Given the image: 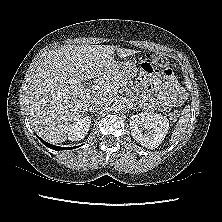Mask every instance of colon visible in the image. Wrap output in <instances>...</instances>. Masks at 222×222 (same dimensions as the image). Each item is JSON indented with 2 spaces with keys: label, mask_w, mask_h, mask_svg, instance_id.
Here are the masks:
<instances>
[{
  "label": "colon",
  "mask_w": 222,
  "mask_h": 222,
  "mask_svg": "<svg viewBox=\"0 0 222 222\" xmlns=\"http://www.w3.org/2000/svg\"><path fill=\"white\" fill-rule=\"evenodd\" d=\"M142 70L146 74H154L159 71L165 73L169 70V62L167 58L161 54L155 53L150 56L149 60L142 64ZM179 116L177 110L170 113L172 120H176Z\"/></svg>",
  "instance_id": "obj_1"
}]
</instances>
